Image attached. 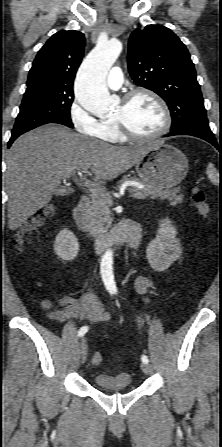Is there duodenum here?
I'll list each match as a JSON object with an SVG mask.
<instances>
[{
  "label": "duodenum",
  "mask_w": 222,
  "mask_h": 447,
  "mask_svg": "<svg viewBox=\"0 0 222 447\" xmlns=\"http://www.w3.org/2000/svg\"><path fill=\"white\" fill-rule=\"evenodd\" d=\"M90 208V200L87 196H81L78 204L73 210V223L81 235L86 237L85 218ZM141 236V227L136 221H122L117 224L106 238L92 241L99 250H104L109 243H127L131 247H136Z\"/></svg>",
  "instance_id": "duodenum-1"
}]
</instances>
